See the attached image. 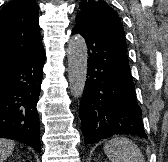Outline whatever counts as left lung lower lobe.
Segmentation results:
<instances>
[{
    "mask_svg": "<svg viewBox=\"0 0 168 162\" xmlns=\"http://www.w3.org/2000/svg\"><path fill=\"white\" fill-rule=\"evenodd\" d=\"M88 48V69L79 116L85 145L113 135L147 139L127 57V48L88 24L76 22Z\"/></svg>",
    "mask_w": 168,
    "mask_h": 162,
    "instance_id": "0a47b994",
    "label": "left lung lower lobe"
}]
</instances>
